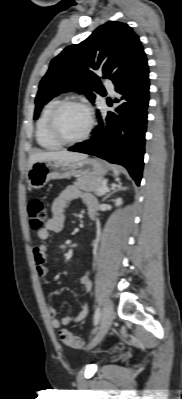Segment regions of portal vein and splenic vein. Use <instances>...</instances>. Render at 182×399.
I'll use <instances>...</instances> for the list:
<instances>
[{
  "instance_id": "portal-vein-and-splenic-vein-1",
  "label": "portal vein and splenic vein",
  "mask_w": 182,
  "mask_h": 399,
  "mask_svg": "<svg viewBox=\"0 0 182 399\" xmlns=\"http://www.w3.org/2000/svg\"><path fill=\"white\" fill-rule=\"evenodd\" d=\"M103 187H101V188H99V192L101 193V194H105L106 193V191H107V187H106V181H104L103 182Z\"/></svg>"
}]
</instances>
